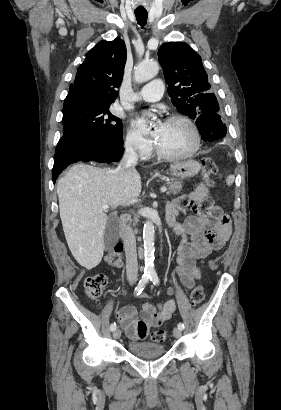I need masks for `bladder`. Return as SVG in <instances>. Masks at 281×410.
<instances>
[{"label":"bladder","mask_w":281,"mask_h":410,"mask_svg":"<svg viewBox=\"0 0 281 410\" xmlns=\"http://www.w3.org/2000/svg\"><path fill=\"white\" fill-rule=\"evenodd\" d=\"M128 351L137 357H158L166 352L165 346L149 341H131Z\"/></svg>","instance_id":"1"}]
</instances>
